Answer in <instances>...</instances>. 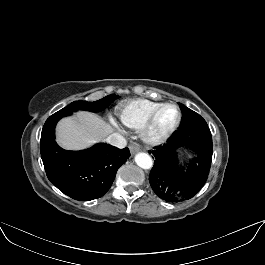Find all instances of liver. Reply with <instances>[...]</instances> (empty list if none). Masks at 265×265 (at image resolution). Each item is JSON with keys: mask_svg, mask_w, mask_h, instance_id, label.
Returning <instances> with one entry per match:
<instances>
[{"mask_svg": "<svg viewBox=\"0 0 265 265\" xmlns=\"http://www.w3.org/2000/svg\"><path fill=\"white\" fill-rule=\"evenodd\" d=\"M113 128L99 116L80 111L75 118H64L57 126V142L67 150H81L105 139Z\"/></svg>", "mask_w": 265, "mask_h": 265, "instance_id": "1", "label": "liver"}]
</instances>
